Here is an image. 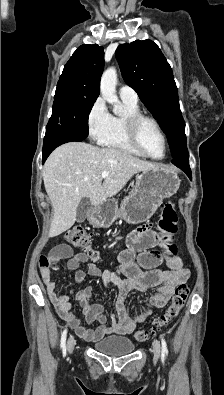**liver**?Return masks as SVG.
<instances>
[{
    "mask_svg": "<svg viewBox=\"0 0 224 395\" xmlns=\"http://www.w3.org/2000/svg\"><path fill=\"white\" fill-rule=\"evenodd\" d=\"M114 148H99L70 142L55 149L44 164L42 175L54 211L49 237L70 229L76 221L81 199L98 206L116 195L140 171L157 167ZM109 175L102 182V172Z\"/></svg>",
    "mask_w": 224,
    "mask_h": 395,
    "instance_id": "obj_1",
    "label": "liver"
}]
</instances>
